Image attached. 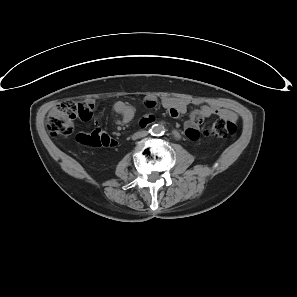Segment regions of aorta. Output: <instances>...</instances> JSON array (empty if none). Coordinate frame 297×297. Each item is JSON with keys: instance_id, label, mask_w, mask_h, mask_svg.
Masks as SVG:
<instances>
[{"instance_id": "1", "label": "aorta", "mask_w": 297, "mask_h": 297, "mask_svg": "<svg viewBox=\"0 0 297 297\" xmlns=\"http://www.w3.org/2000/svg\"><path fill=\"white\" fill-rule=\"evenodd\" d=\"M165 133V127L161 124H155L151 128V134L154 136H160Z\"/></svg>"}]
</instances>
